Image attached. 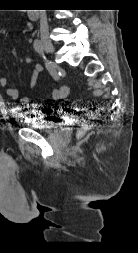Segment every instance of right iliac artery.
I'll use <instances>...</instances> for the list:
<instances>
[{"label": "right iliac artery", "mask_w": 138, "mask_h": 253, "mask_svg": "<svg viewBox=\"0 0 138 253\" xmlns=\"http://www.w3.org/2000/svg\"><path fill=\"white\" fill-rule=\"evenodd\" d=\"M33 46H34L35 51L46 60L42 41L36 39L33 43ZM46 66L49 69L50 73L52 74L53 78L55 80H58L59 75L57 74V72L55 70H53L52 66L50 65V63H48V61H46Z\"/></svg>", "instance_id": "82829eb1"}]
</instances>
